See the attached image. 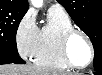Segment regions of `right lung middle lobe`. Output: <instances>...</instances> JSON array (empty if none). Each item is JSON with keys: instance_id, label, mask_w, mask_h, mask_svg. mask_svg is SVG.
<instances>
[{"instance_id": "dd1d6c3e", "label": "right lung middle lobe", "mask_w": 102, "mask_h": 75, "mask_svg": "<svg viewBox=\"0 0 102 75\" xmlns=\"http://www.w3.org/2000/svg\"><path fill=\"white\" fill-rule=\"evenodd\" d=\"M26 12L27 11H15L10 9L0 10V54H18L16 32Z\"/></svg>"}]
</instances>
